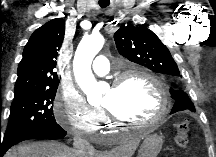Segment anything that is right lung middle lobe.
I'll return each mask as SVG.
<instances>
[{"mask_svg": "<svg viewBox=\"0 0 216 157\" xmlns=\"http://www.w3.org/2000/svg\"><path fill=\"white\" fill-rule=\"evenodd\" d=\"M56 91L57 87L44 88L14 96L8 127L2 142L32 130L59 126L53 115Z\"/></svg>", "mask_w": 216, "mask_h": 157, "instance_id": "1", "label": "right lung middle lobe"}]
</instances>
